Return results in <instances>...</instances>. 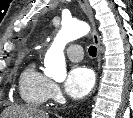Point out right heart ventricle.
I'll use <instances>...</instances> for the list:
<instances>
[{
	"label": "right heart ventricle",
	"instance_id": "obj_1",
	"mask_svg": "<svg viewBox=\"0 0 133 118\" xmlns=\"http://www.w3.org/2000/svg\"><path fill=\"white\" fill-rule=\"evenodd\" d=\"M50 79L38 70L34 61L30 62L19 78L21 99L31 106H41L49 98Z\"/></svg>",
	"mask_w": 133,
	"mask_h": 118
}]
</instances>
